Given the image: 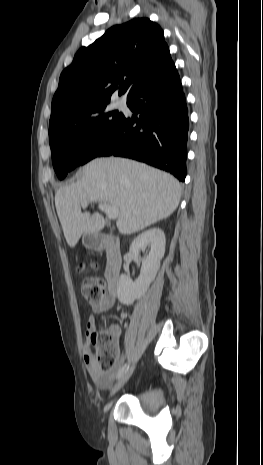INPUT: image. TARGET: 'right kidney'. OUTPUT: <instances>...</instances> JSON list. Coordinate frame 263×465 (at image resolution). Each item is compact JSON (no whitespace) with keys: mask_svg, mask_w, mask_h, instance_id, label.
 <instances>
[{"mask_svg":"<svg viewBox=\"0 0 263 465\" xmlns=\"http://www.w3.org/2000/svg\"><path fill=\"white\" fill-rule=\"evenodd\" d=\"M165 234L159 228H152L137 236L130 246V253L139 256L140 251L150 248L147 256L142 258L139 278L132 282L122 274L118 281V300L124 305H131L136 299L141 298L155 279L160 268V261L165 253Z\"/></svg>","mask_w":263,"mask_h":465,"instance_id":"1","label":"right kidney"}]
</instances>
